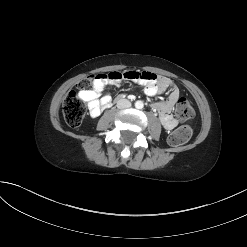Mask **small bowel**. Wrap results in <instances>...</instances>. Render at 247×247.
<instances>
[{
	"label": "small bowel",
	"mask_w": 247,
	"mask_h": 247,
	"mask_svg": "<svg viewBox=\"0 0 247 247\" xmlns=\"http://www.w3.org/2000/svg\"><path fill=\"white\" fill-rule=\"evenodd\" d=\"M101 75L103 77L96 80L91 89L82 90L79 93L80 98L86 102L92 117L99 116L103 110L109 108L112 104V98L109 94L101 97L107 84H117L122 80H133L143 85L145 93L149 96L163 94L166 91L169 92L166 101L154 103L152 108L158 113L161 124L165 129L172 130L177 126L178 122L172 115V109L179 99L180 92L170 79L161 77L158 73L150 70H118Z\"/></svg>",
	"instance_id": "c3829d8e"
}]
</instances>
